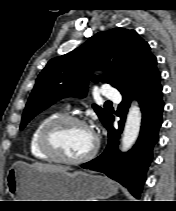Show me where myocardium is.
<instances>
[{"mask_svg": "<svg viewBox=\"0 0 176 211\" xmlns=\"http://www.w3.org/2000/svg\"><path fill=\"white\" fill-rule=\"evenodd\" d=\"M65 124H77L89 129L94 135V144L91 150L78 158H68L65 157L58 149L54 141V135L57 129ZM40 147L41 149L49 155L52 159L59 162L71 165L82 164L91 160L98 152L100 147V140L96 133L91 129L88 123L75 116L69 114H60L51 120H49L42 128L40 133Z\"/></svg>", "mask_w": 176, "mask_h": 211, "instance_id": "obj_1", "label": "myocardium"}]
</instances>
